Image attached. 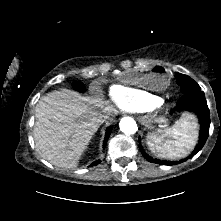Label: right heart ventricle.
I'll return each mask as SVG.
<instances>
[{
  "mask_svg": "<svg viewBox=\"0 0 221 221\" xmlns=\"http://www.w3.org/2000/svg\"><path fill=\"white\" fill-rule=\"evenodd\" d=\"M109 95L119 109L129 112L150 110L162 102L160 96L126 85L111 86Z\"/></svg>",
  "mask_w": 221,
  "mask_h": 221,
  "instance_id": "obj_1",
  "label": "right heart ventricle"
}]
</instances>
